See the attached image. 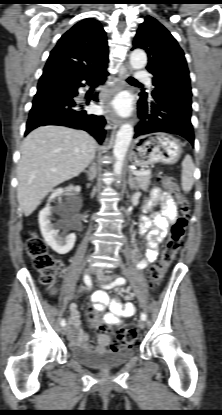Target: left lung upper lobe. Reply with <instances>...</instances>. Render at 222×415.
<instances>
[{
	"label": "left lung upper lobe",
	"mask_w": 222,
	"mask_h": 415,
	"mask_svg": "<svg viewBox=\"0 0 222 415\" xmlns=\"http://www.w3.org/2000/svg\"><path fill=\"white\" fill-rule=\"evenodd\" d=\"M144 49L148 55V71L153 75V85L164 76L181 75L189 77L184 52L171 33L156 19L147 16L140 25L133 42V48ZM145 91L142 98H150Z\"/></svg>",
	"instance_id": "left-lung-upper-lobe-1"
}]
</instances>
